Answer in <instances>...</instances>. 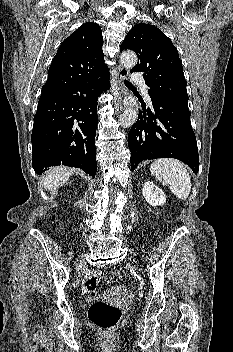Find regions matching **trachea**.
Here are the masks:
<instances>
[{
	"mask_svg": "<svg viewBox=\"0 0 233 352\" xmlns=\"http://www.w3.org/2000/svg\"><path fill=\"white\" fill-rule=\"evenodd\" d=\"M124 83L126 84V85H132L129 81H127V80H124Z\"/></svg>",
	"mask_w": 233,
	"mask_h": 352,
	"instance_id": "3493384b",
	"label": "trachea"
}]
</instances>
